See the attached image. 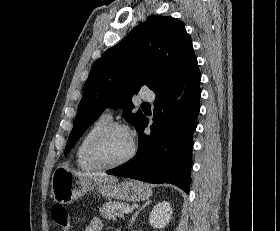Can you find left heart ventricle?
Returning <instances> with one entry per match:
<instances>
[{"instance_id": "obj_1", "label": "left heart ventricle", "mask_w": 280, "mask_h": 231, "mask_svg": "<svg viewBox=\"0 0 280 231\" xmlns=\"http://www.w3.org/2000/svg\"><path fill=\"white\" fill-rule=\"evenodd\" d=\"M130 140L122 130H112L97 144L95 156L101 162H114L122 158L129 149Z\"/></svg>"}]
</instances>
